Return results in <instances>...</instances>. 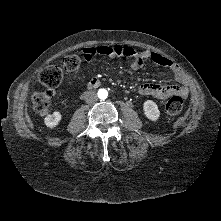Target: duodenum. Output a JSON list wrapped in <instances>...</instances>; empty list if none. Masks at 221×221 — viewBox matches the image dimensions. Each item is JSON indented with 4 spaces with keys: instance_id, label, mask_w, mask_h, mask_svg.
<instances>
[{
    "instance_id": "obj_1",
    "label": "duodenum",
    "mask_w": 221,
    "mask_h": 221,
    "mask_svg": "<svg viewBox=\"0 0 221 221\" xmlns=\"http://www.w3.org/2000/svg\"><path fill=\"white\" fill-rule=\"evenodd\" d=\"M100 84L101 81L98 78L94 77L88 82V88H96L100 86Z\"/></svg>"
}]
</instances>
